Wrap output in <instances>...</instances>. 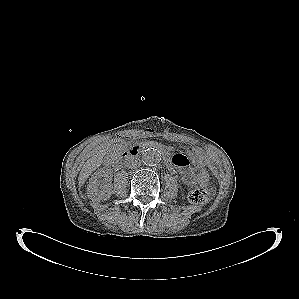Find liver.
Returning <instances> with one entry per match:
<instances>
[{
    "mask_svg": "<svg viewBox=\"0 0 299 299\" xmlns=\"http://www.w3.org/2000/svg\"><path fill=\"white\" fill-rule=\"evenodd\" d=\"M108 149L109 145H103L89 160H87L78 177L79 186H82L91 173L100 167L103 162V157L106 155Z\"/></svg>",
    "mask_w": 299,
    "mask_h": 299,
    "instance_id": "obj_1",
    "label": "liver"
}]
</instances>
